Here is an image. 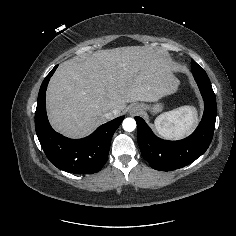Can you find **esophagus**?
<instances>
[{"instance_id":"1","label":"esophagus","mask_w":236,"mask_h":236,"mask_svg":"<svg viewBox=\"0 0 236 236\" xmlns=\"http://www.w3.org/2000/svg\"><path fill=\"white\" fill-rule=\"evenodd\" d=\"M142 111V109L140 108V106L138 105H133L130 109H129V114L130 115H137Z\"/></svg>"}]
</instances>
